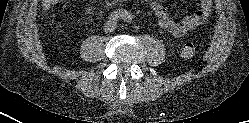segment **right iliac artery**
Segmentation results:
<instances>
[{
	"instance_id": "1",
	"label": "right iliac artery",
	"mask_w": 249,
	"mask_h": 123,
	"mask_svg": "<svg viewBox=\"0 0 249 123\" xmlns=\"http://www.w3.org/2000/svg\"><path fill=\"white\" fill-rule=\"evenodd\" d=\"M125 13H126V11H123V10H116V11L112 12V13L109 15V20H111V21L119 20L120 18H123V17H124Z\"/></svg>"
}]
</instances>
